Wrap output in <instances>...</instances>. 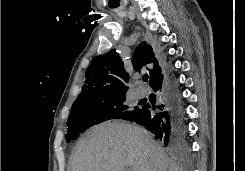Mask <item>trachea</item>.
Masks as SVG:
<instances>
[{
  "mask_svg": "<svg viewBox=\"0 0 245 171\" xmlns=\"http://www.w3.org/2000/svg\"><path fill=\"white\" fill-rule=\"evenodd\" d=\"M142 79H143L144 82H146L148 80V75L147 74L143 75Z\"/></svg>",
  "mask_w": 245,
  "mask_h": 171,
  "instance_id": "obj_1",
  "label": "trachea"
}]
</instances>
